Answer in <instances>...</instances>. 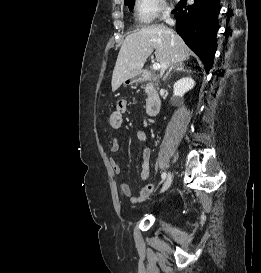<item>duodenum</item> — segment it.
Wrapping results in <instances>:
<instances>
[{
    "instance_id": "duodenum-1",
    "label": "duodenum",
    "mask_w": 261,
    "mask_h": 273,
    "mask_svg": "<svg viewBox=\"0 0 261 273\" xmlns=\"http://www.w3.org/2000/svg\"><path fill=\"white\" fill-rule=\"evenodd\" d=\"M154 76L149 72H144L141 75L140 81H151ZM161 106V99L157 95H152L147 103V113L150 116H154L158 113Z\"/></svg>"
}]
</instances>
